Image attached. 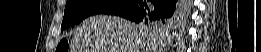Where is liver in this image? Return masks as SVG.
<instances>
[{
  "instance_id": "6515ba94",
  "label": "liver",
  "mask_w": 261,
  "mask_h": 52,
  "mask_svg": "<svg viewBox=\"0 0 261 52\" xmlns=\"http://www.w3.org/2000/svg\"><path fill=\"white\" fill-rule=\"evenodd\" d=\"M162 29L138 25L116 16H92L81 23L71 42L72 52H162Z\"/></svg>"
}]
</instances>
